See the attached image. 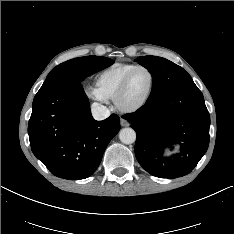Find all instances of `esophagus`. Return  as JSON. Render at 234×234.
<instances>
[{
	"mask_svg": "<svg viewBox=\"0 0 234 234\" xmlns=\"http://www.w3.org/2000/svg\"><path fill=\"white\" fill-rule=\"evenodd\" d=\"M121 125L124 127H127V126H129V122L126 119L121 118Z\"/></svg>",
	"mask_w": 234,
	"mask_h": 234,
	"instance_id": "34e87169",
	"label": "esophagus"
}]
</instances>
